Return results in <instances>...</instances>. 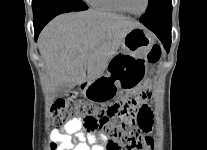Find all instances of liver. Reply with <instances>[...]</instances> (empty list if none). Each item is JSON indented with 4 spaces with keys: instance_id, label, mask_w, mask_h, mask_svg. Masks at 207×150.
I'll use <instances>...</instances> for the list:
<instances>
[{
    "instance_id": "obj_1",
    "label": "liver",
    "mask_w": 207,
    "mask_h": 150,
    "mask_svg": "<svg viewBox=\"0 0 207 150\" xmlns=\"http://www.w3.org/2000/svg\"><path fill=\"white\" fill-rule=\"evenodd\" d=\"M140 23L102 11L61 14L41 32L40 54L46 64L49 90L73 87L101 77L126 33Z\"/></svg>"
}]
</instances>
